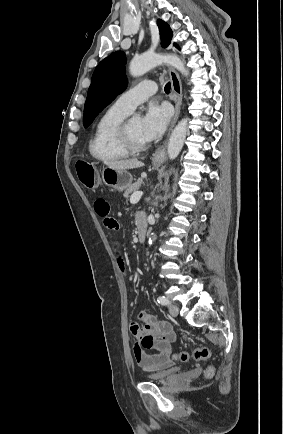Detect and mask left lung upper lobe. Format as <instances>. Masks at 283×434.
<instances>
[{"label":"left lung upper lobe","mask_w":283,"mask_h":434,"mask_svg":"<svg viewBox=\"0 0 283 434\" xmlns=\"http://www.w3.org/2000/svg\"><path fill=\"white\" fill-rule=\"evenodd\" d=\"M157 25L161 46H169L173 35L171 28L161 19L157 20ZM125 64V54L117 51L103 59L96 67L84 105L83 126L85 128L93 122L99 112L126 89Z\"/></svg>","instance_id":"1"}]
</instances>
